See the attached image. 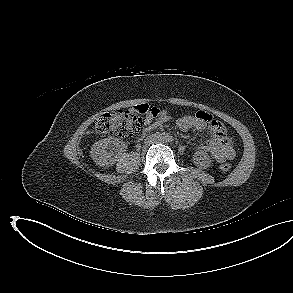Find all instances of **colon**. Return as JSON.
I'll list each match as a JSON object with an SVG mask.
<instances>
[{
  "label": "colon",
  "instance_id": "1",
  "mask_svg": "<svg viewBox=\"0 0 293 293\" xmlns=\"http://www.w3.org/2000/svg\"><path fill=\"white\" fill-rule=\"evenodd\" d=\"M200 117H207L200 114ZM144 125L140 113L135 110H114L100 116L95 123L94 132L98 135H113L117 137H129L138 132ZM223 172L231 170L229 163L219 166Z\"/></svg>",
  "mask_w": 293,
  "mask_h": 293
}]
</instances>
